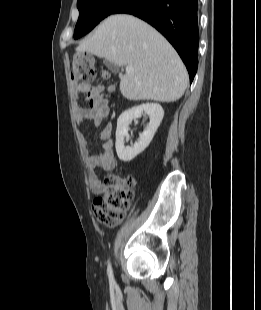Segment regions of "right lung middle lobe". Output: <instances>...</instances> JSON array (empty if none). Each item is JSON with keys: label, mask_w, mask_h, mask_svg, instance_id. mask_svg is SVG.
I'll use <instances>...</instances> for the list:
<instances>
[{"label": "right lung middle lobe", "mask_w": 261, "mask_h": 310, "mask_svg": "<svg viewBox=\"0 0 261 310\" xmlns=\"http://www.w3.org/2000/svg\"><path fill=\"white\" fill-rule=\"evenodd\" d=\"M126 0H78L80 15L75 27L74 38L77 39L91 31L101 20Z\"/></svg>", "instance_id": "1"}]
</instances>
